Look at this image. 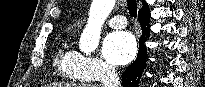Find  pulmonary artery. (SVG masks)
<instances>
[{
  "mask_svg": "<svg viewBox=\"0 0 205 87\" xmlns=\"http://www.w3.org/2000/svg\"><path fill=\"white\" fill-rule=\"evenodd\" d=\"M107 23L111 28L120 29L126 27L127 20L123 15H116L110 18Z\"/></svg>",
  "mask_w": 205,
  "mask_h": 87,
  "instance_id": "pulmonary-artery-1",
  "label": "pulmonary artery"
}]
</instances>
